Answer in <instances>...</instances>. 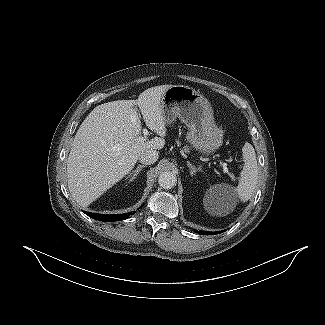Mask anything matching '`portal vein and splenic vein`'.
<instances>
[{
  "label": "portal vein and splenic vein",
  "mask_w": 325,
  "mask_h": 325,
  "mask_svg": "<svg viewBox=\"0 0 325 325\" xmlns=\"http://www.w3.org/2000/svg\"><path fill=\"white\" fill-rule=\"evenodd\" d=\"M143 135L144 136H142V140H146L147 139V136L149 135V132H148V130L147 129H143ZM221 165L223 166V168H224V171L225 172H228V170H227V163H225V162H221Z\"/></svg>",
  "instance_id": "portal-vein-and-splenic-vein-1"
}]
</instances>
